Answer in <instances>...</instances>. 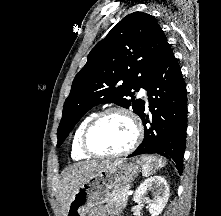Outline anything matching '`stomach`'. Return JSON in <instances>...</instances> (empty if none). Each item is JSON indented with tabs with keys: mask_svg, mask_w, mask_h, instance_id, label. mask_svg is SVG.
I'll return each mask as SVG.
<instances>
[{
	"mask_svg": "<svg viewBox=\"0 0 221 216\" xmlns=\"http://www.w3.org/2000/svg\"><path fill=\"white\" fill-rule=\"evenodd\" d=\"M139 173V166L126 159L105 165L88 177L72 193L65 216H87L97 206L110 203L114 193L131 183Z\"/></svg>",
	"mask_w": 221,
	"mask_h": 216,
	"instance_id": "1",
	"label": "stomach"
}]
</instances>
